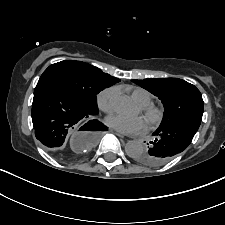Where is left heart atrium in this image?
Instances as JSON below:
<instances>
[{
  "label": "left heart atrium",
  "mask_w": 225,
  "mask_h": 225,
  "mask_svg": "<svg viewBox=\"0 0 225 225\" xmlns=\"http://www.w3.org/2000/svg\"><path fill=\"white\" fill-rule=\"evenodd\" d=\"M107 123L114 129L126 133H142L147 128L146 120L142 116L128 117L115 114L107 118Z\"/></svg>",
  "instance_id": "39dd6f15"
}]
</instances>
